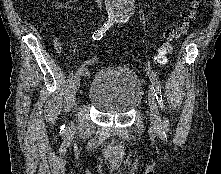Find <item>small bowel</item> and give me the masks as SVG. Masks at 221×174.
I'll return each mask as SVG.
<instances>
[{
	"label": "small bowel",
	"mask_w": 221,
	"mask_h": 174,
	"mask_svg": "<svg viewBox=\"0 0 221 174\" xmlns=\"http://www.w3.org/2000/svg\"><path fill=\"white\" fill-rule=\"evenodd\" d=\"M55 47H56V49H58V50H59V48H60V46H59L58 43H55Z\"/></svg>",
	"instance_id": "small-bowel-1"
}]
</instances>
